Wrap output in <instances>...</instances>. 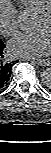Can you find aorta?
<instances>
[{
    "label": "aorta",
    "instance_id": "obj_1",
    "mask_svg": "<svg viewBox=\"0 0 51 153\" xmlns=\"http://www.w3.org/2000/svg\"><path fill=\"white\" fill-rule=\"evenodd\" d=\"M33 14L31 12H22L19 15V20L21 24L27 26L32 20ZM41 82L43 85L49 87L51 85V69L47 68L43 72H41Z\"/></svg>",
    "mask_w": 51,
    "mask_h": 153
}]
</instances>
